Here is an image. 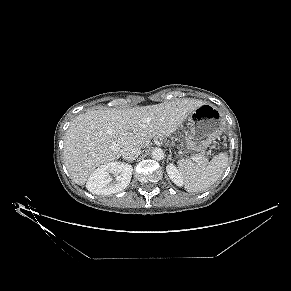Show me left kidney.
Returning a JSON list of instances; mask_svg holds the SVG:
<instances>
[{
	"mask_svg": "<svg viewBox=\"0 0 291 291\" xmlns=\"http://www.w3.org/2000/svg\"><path fill=\"white\" fill-rule=\"evenodd\" d=\"M166 171H167L169 178L172 180V182L174 184H176L177 186L183 185L182 176L173 163H170L167 165Z\"/></svg>",
	"mask_w": 291,
	"mask_h": 291,
	"instance_id": "5707ae66",
	"label": "left kidney"
}]
</instances>
